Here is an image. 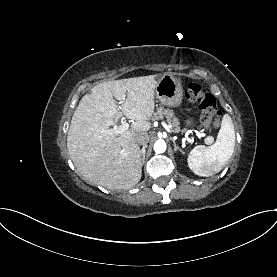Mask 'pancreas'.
I'll list each match as a JSON object with an SVG mask.
<instances>
[{"instance_id":"pancreas-1","label":"pancreas","mask_w":277,"mask_h":277,"mask_svg":"<svg viewBox=\"0 0 277 277\" xmlns=\"http://www.w3.org/2000/svg\"><path fill=\"white\" fill-rule=\"evenodd\" d=\"M154 115H155L154 117L156 119L165 117L166 120L175 128V132L180 131L179 122H178L177 118L175 117L173 110L159 107V108H157V111Z\"/></svg>"}]
</instances>
